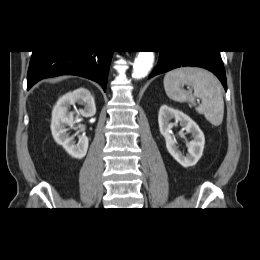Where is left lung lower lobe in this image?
<instances>
[{"label": "left lung lower lobe", "mask_w": 260, "mask_h": 260, "mask_svg": "<svg viewBox=\"0 0 260 260\" xmlns=\"http://www.w3.org/2000/svg\"><path fill=\"white\" fill-rule=\"evenodd\" d=\"M184 66L201 67L213 72L227 90L225 69L218 50L160 51L158 64L149 78Z\"/></svg>", "instance_id": "left-lung-lower-lobe-1"}]
</instances>
